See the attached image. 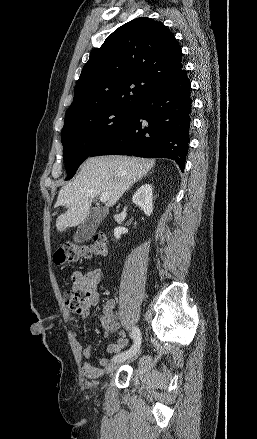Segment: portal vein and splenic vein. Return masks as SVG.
Here are the masks:
<instances>
[{
    "label": "portal vein and splenic vein",
    "instance_id": "1",
    "mask_svg": "<svg viewBox=\"0 0 257 439\" xmlns=\"http://www.w3.org/2000/svg\"><path fill=\"white\" fill-rule=\"evenodd\" d=\"M109 198H110V196L108 193H102V194H100V197H99L100 201L103 203L107 202L109 200Z\"/></svg>",
    "mask_w": 257,
    "mask_h": 439
}]
</instances>
